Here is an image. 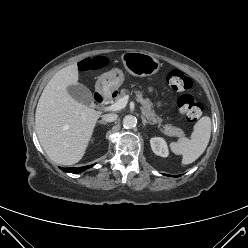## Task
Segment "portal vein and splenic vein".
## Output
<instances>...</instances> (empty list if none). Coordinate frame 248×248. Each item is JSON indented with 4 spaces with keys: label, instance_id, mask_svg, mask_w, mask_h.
<instances>
[{
    "label": "portal vein and splenic vein",
    "instance_id": "obj_1",
    "mask_svg": "<svg viewBox=\"0 0 248 248\" xmlns=\"http://www.w3.org/2000/svg\"><path fill=\"white\" fill-rule=\"evenodd\" d=\"M128 99H129V96L126 95L123 98H121L120 100H118L117 102H115L114 104H112V105H110L108 107H104V110H106V111H118V110H121L127 105Z\"/></svg>",
    "mask_w": 248,
    "mask_h": 248
}]
</instances>
